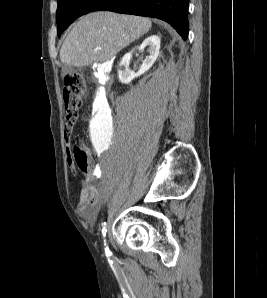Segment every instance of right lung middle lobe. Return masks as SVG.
I'll return each mask as SVG.
<instances>
[{
  "instance_id": "right-lung-middle-lobe-1",
  "label": "right lung middle lobe",
  "mask_w": 267,
  "mask_h": 298,
  "mask_svg": "<svg viewBox=\"0 0 267 298\" xmlns=\"http://www.w3.org/2000/svg\"><path fill=\"white\" fill-rule=\"evenodd\" d=\"M99 0H58V36L78 17L89 13Z\"/></svg>"
}]
</instances>
